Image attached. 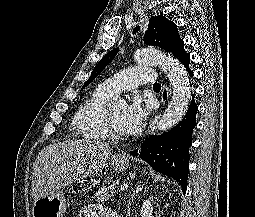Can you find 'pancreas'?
Listing matches in <instances>:
<instances>
[{"label": "pancreas", "mask_w": 255, "mask_h": 217, "mask_svg": "<svg viewBox=\"0 0 255 217\" xmlns=\"http://www.w3.org/2000/svg\"><path fill=\"white\" fill-rule=\"evenodd\" d=\"M119 184V181H114L112 183H108V185L103 186L102 188L98 189L95 193V197L97 198L98 202H105L107 201L112 195L116 188V186Z\"/></svg>", "instance_id": "obj_1"}]
</instances>
